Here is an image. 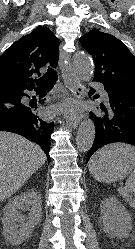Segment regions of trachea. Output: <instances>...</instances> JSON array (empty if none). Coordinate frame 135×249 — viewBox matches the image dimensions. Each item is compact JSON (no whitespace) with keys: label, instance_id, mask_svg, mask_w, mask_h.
<instances>
[{"label":"trachea","instance_id":"1","mask_svg":"<svg viewBox=\"0 0 135 249\" xmlns=\"http://www.w3.org/2000/svg\"><path fill=\"white\" fill-rule=\"evenodd\" d=\"M57 73L53 69L49 68L47 73H45L40 79L36 80L37 88L39 89H51L56 80Z\"/></svg>","mask_w":135,"mask_h":249}]
</instances>
